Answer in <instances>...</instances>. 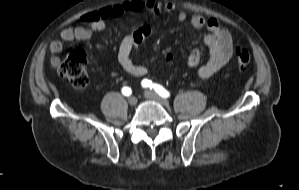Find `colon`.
Returning a JSON list of instances; mask_svg holds the SVG:
<instances>
[{
  "mask_svg": "<svg viewBox=\"0 0 299 190\" xmlns=\"http://www.w3.org/2000/svg\"><path fill=\"white\" fill-rule=\"evenodd\" d=\"M251 61L250 52L246 48L236 50V64L239 68H245ZM87 58L85 52L78 47H71L67 56L58 68L60 76L67 79L74 88L84 89L89 83L87 73Z\"/></svg>",
  "mask_w": 299,
  "mask_h": 190,
  "instance_id": "1",
  "label": "colon"
}]
</instances>
